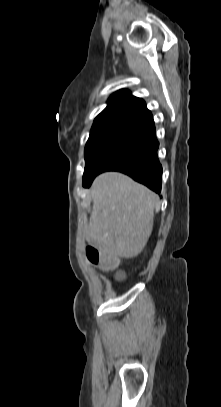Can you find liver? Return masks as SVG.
I'll list each match as a JSON object with an SVG mask.
<instances>
[{
	"label": "liver",
	"mask_w": 221,
	"mask_h": 407,
	"mask_svg": "<svg viewBox=\"0 0 221 407\" xmlns=\"http://www.w3.org/2000/svg\"><path fill=\"white\" fill-rule=\"evenodd\" d=\"M89 244L111 258H133L146 246L153 230L158 196L129 176L106 172L91 186Z\"/></svg>",
	"instance_id": "obj_1"
}]
</instances>
